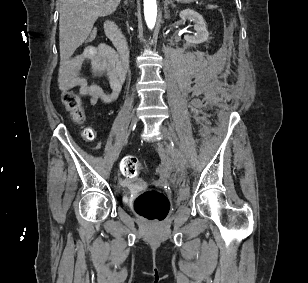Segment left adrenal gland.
<instances>
[{"instance_id":"left-adrenal-gland-1","label":"left adrenal gland","mask_w":308,"mask_h":283,"mask_svg":"<svg viewBox=\"0 0 308 283\" xmlns=\"http://www.w3.org/2000/svg\"><path fill=\"white\" fill-rule=\"evenodd\" d=\"M164 11H165V19H169V13H168V5H171L172 7H175L173 0H164Z\"/></svg>"}]
</instances>
